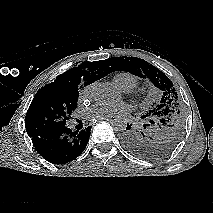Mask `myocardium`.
<instances>
[{
  "instance_id": "1",
  "label": "myocardium",
  "mask_w": 213,
  "mask_h": 213,
  "mask_svg": "<svg viewBox=\"0 0 213 213\" xmlns=\"http://www.w3.org/2000/svg\"><path fill=\"white\" fill-rule=\"evenodd\" d=\"M126 93L131 94L137 101H140V102H142V103H145V102L142 100V97H141L140 93H138V92H132V91H128V92H126Z\"/></svg>"
}]
</instances>
